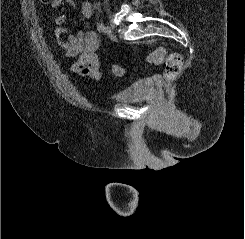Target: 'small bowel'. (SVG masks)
Wrapping results in <instances>:
<instances>
[{"label":"small bowel","instance_id":"small-bowel-1","mask_svg":"<svg viewBox=\"0 0 245 239\" xmlns=\"http://www.w3.org/2000/svg\"><path fill=\"white\" fill-rule=\"evenodd\" d=\"M62 3L63 0H51L53 9H57ZM79 11L84 19L92 18L94 12L92 4L87 1L81 2ZM65 21L66 17L64 15L55 17V37L67 58H78L77 62L72 66V71L93 81H100L103 74L100 70V62L97 55L99 41L96 32L86 30L76 35L67 36V30L64 27Z\"/></svg>","mask_w":245,"mask_h":239}]
</instances>
